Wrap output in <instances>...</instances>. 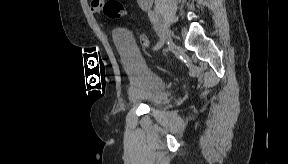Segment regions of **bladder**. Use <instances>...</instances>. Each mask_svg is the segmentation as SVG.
<instances>
[{
  "mask_svg": "<svg viewBox=\"0 0 288 164\" xmlns=\"http://www.w3.org/2000/svg\"><path fill=\"white\" fill-rule=\"evenodd\" d=\"M115 41L129 78V98L153 108L166 104L170 93L165 78L143 61L134 44L125 35H117Z\"/></svg>",
  "mask_w": 288,
  "mask_h": 164,
  "instance_id": "bladder-1",
  "label": "bladder"
}]
</instances>
